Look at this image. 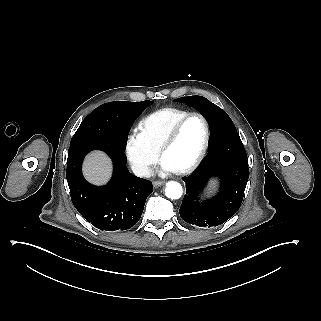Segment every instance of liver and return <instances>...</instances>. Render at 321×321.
<instances>
[{"mask_svg": "<svg viewBox=\"0 0 321 321\" xmlns=\"http://www.w3.org/2000/svg\"><path fill=\"white\" fill-rule=\"evenodd\" d=\"M109 171V161L102 154L95 153L89 156L85 163L86 176L93 182L104 181L108 177Z\"/></svg>", "mask_w": 321, "mask_h": 321, "instance_id": "obj_1", "label": "liver"}]
</instances>
